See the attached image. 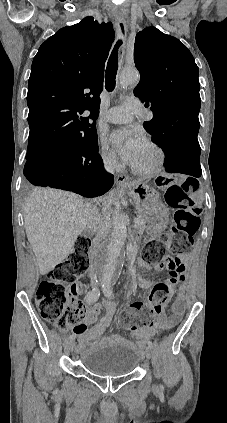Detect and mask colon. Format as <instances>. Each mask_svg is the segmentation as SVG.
Masks as SVG:
<instances>
[{"label": "colon", "instance_id": "colon-1", "mask_svg": "<svg viewBox=\"0 0 227 423\" xmlns=\"http://www.w3.org/2000/svg\"><path fill=\"white\" fill-rule=\"evenodd\" d=\"M156 184L165 191L167 204L176 210L171 252L174 255L186 253L192 249L193 237L200 227L201 208L193 200L197 183L191 179L172 181L159 178ZM164 245L165 237L148 242L143 259L166 269L168 279L155 285L147 303L135 302L121 311L120 323L127 329L149 326L151 317L164 311L172 296L173 284L184 278L180 260L168 255ZM89 246V238L79 237L68 258L47 273L36 291L35 301L41 316L61 330L84 319V307L77 299L78 284L75 281L88 269Z\"/></svg>", "mask_w": 227, "mask_h": 423}]
</instances>
